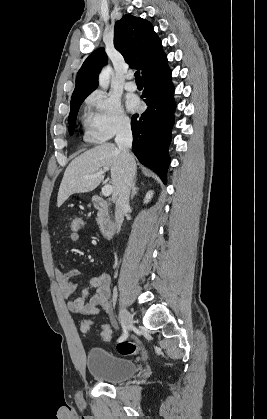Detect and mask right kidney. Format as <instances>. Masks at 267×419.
Listing matches in <instances>:
<instances>
[{"instance_id": "obj_1", "label": "right kidney", "mask_w": 267, "mask_h": 419, "mask_svg": "<svg viewBox=\"0 0 267 419\" xmlns=\"http://www.w3.org/2000/svg\"><path fill=\"white\" fill-rule=\"evenodd\" d=\"M152 196H153V191H148L146 193V196H145V199H144V203H148L151 200Z\"/></svg>"}]
</instances>
